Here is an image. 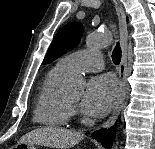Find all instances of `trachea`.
Here are the masks:
<instances>
[{"mask_svg": "<svg viewBox=\"0 0 155 149\" xmlns=\"http://www.w3.org/2000/svg\"><path fill=\"white\" fill-rule=\"evenodd\" d=\"M112 60L117 65L121 61V48L119 42L116 44L113 53H112Z\"/></svg>", "mask_w": 155, "mask_h": 149, "instance_id": "trachea-1", "label": "trachea"}]
</instances>
